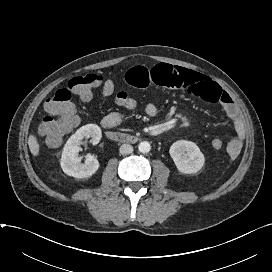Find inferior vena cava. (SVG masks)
Wrapping results in <instances>:
<instances>
[{
  "instance_id": "inferior-vena-cava-1",
  "label": "inferior vena cava",
  "mask_w": 272,
  "mask_h": 272,
  "mask_svg": "<svg viewBox=\"0 0 272 272\" xmlns=\"http://www.w3.org/2000/svg\"><path fill=\"white\" fill-rule=\"evenodd\" d=\"M119 151L122 155H127L133 152V147L130 144H123Z\"/></svg>"
}]
</instances>
